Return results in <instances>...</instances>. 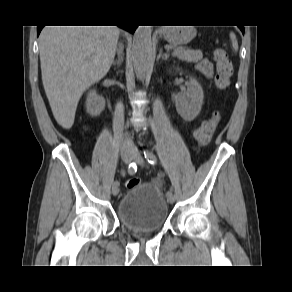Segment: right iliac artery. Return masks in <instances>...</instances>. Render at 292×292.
<instances>
[{
	"instance_id": "obj_1",
	"label": "right iliac artery",
	"mask_w": 292,
	"mask_h": 292,
	"mask_svg": "<svg viewBox=\"0 0 292 292\" xmlns=\"http://www.w3.org/2000/svg\"><path fill=\"white\" fill-rule=\"evenodd\" d=\"M136 171H137L136 163L135 162L130 163L129 166H128V173L130 175H133V174L136 173ZM118 185H119V180L115 179V182H114L113 186H118Z\"/></svg>"
}]
</instances>
